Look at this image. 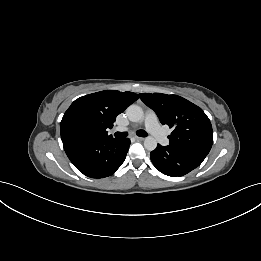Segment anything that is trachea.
<instances>
[{"label":"trachea","mask_w":261,"mask_h":261,"mask_svg":"<svg viewBox=\"0 0 261 261\" xmlns=\"http://www.w3.org/2000/svg\"><path fill=\"white\" fill-rule=\"evenodd\" d=\"M114 135L118 139H123V138L127 137L128 133L127 132H116ZM137 135L140 137H146L148 134L144 130H139L137 132Z\"/></svg>","instance_id":"obj_1"}]
</instances>
